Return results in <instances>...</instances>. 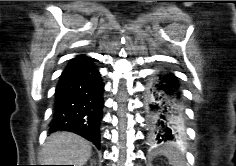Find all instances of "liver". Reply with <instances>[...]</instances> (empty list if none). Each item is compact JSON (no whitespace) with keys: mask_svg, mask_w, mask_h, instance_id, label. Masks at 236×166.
Wrapping results in <instances>:
<instances>
[{"mask_svg":"<svg viewBox=\"0 0 236 166\" xmlns=\"http://www.w3.org/2000/svg\"><path fill=\"white\" fill-rule=\"evenodd\" d=\"M90 156L88 141L70 132L52 134L42 151V161L47 165L83 166Z\"/></svg>","mask_w":236,"mask_h":166,"instance_id":"liver-1","label":"liver"}]
</instances>
